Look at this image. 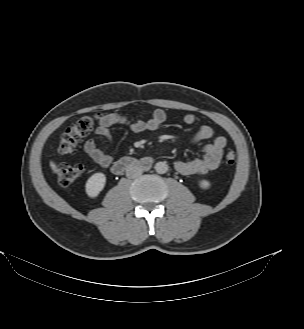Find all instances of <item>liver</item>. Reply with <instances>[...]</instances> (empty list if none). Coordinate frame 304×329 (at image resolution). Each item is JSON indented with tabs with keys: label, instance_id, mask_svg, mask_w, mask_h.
I'll return each mask as SVG.
<instances>
[{
	"label": "liver",
	"instance_id": "obj_1",
	"mask_svg": "<svg viewBox=\"0 0 304 329\" xmlns=\"http://www.w3.org/2000/svg\"><path fill=\"white\" fill-rule=\"evenodd\" d=\"M50 167L52 168L54 173H58L59 169L57 168L56 164L54 162H50Z\"/></svg>",
	"mask_w": 304,
	"mask_h": 329
}]
</instances>
